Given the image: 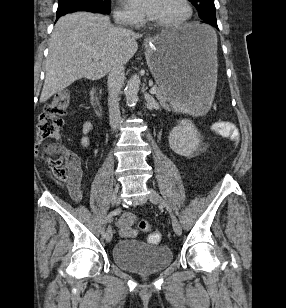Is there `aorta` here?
I'll return each mask as SVG.
<instances>
[{
    "mask_svg": "<svg viewBox=\"0 0 286 308\" xmlns=\"http://www.w3.org/2000/svg\"><path fill=\"white\" fill-rule=\"evenodd\" d=\"M140 78L138 75H133L125 88V96L127 103L131 106L135 105L138 101V91L140 87Z\"/></svg>",
    "mask_w": 286,
    "mask_h": 308,
    "instance_id": "aorta-1",
    "label": "aorta"
}]
</instances>
